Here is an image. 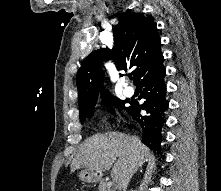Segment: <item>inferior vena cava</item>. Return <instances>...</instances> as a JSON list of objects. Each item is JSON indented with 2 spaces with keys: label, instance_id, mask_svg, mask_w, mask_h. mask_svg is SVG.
Returning a JSON list of instances; mask_svg holds the SVG:
<instances>
[{
  "label": "inferior vena cava",
  "instance_id": "1",
  "mask_svg": "<svg viewBox=\"0 0 221 191\" xmlns=\"http://www.w3.org/2000/svg\"><path fill=\"white\" fill-rule=\"evenodd\" d=\"M131 141L133 142V144H135L136 142H138V138L135 136H132ZM137 168H138V163H137V160L134 159L131 169L129 171V175L123 180L122 185L119 188L120 190L126 191L127 186L130 182V179L132 178L133 174L137 171Z\"/></svg>",
  "mask_w": 221,
  "mask_h": 191
}]
</instances>
